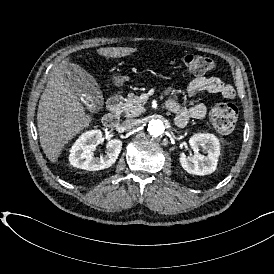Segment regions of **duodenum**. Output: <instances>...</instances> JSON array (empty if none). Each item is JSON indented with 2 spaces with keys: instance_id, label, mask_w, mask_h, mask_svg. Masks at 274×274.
<instances>
[{
  "instance_id": "obj_1",
  "label": "duodenum",
  "mask_w": 274,
  "mask_h": 274,
  "mask_svg": "<svg viewBox=\"0 0 274 274\" xmlns=\"http://www.w3.org/2000/svg\"><path fill=\"white\" fill-rule=\"evenodd\" d=\"M121 97L113 95L107 102L108 112L103 117V125L107 129H115L120 123Z\"/></svg>"
}]
</instances>
